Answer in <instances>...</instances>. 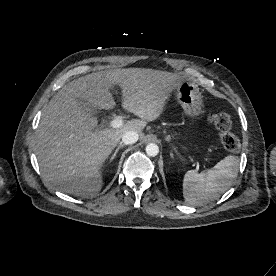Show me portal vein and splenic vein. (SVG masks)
I'll use <instances>...</instances> for the list:
<instances>
[{
	"mask_svg": "<svg viewBox=\"0 0 276 276\" xmlns=\"http://www.w3.org/2000/svg\"><path fill=\"white\" fill-rule=\"evenodd\" d=\"M123 125V120L119 117L114 118L111 122H110V126L112 128H120Z\"/></svg>",
	"mask_w": 276,
	"mask_h": 276,
	"instance_id": "1",
	"label": "portal vein and splenic vein"
}]
</instances>
